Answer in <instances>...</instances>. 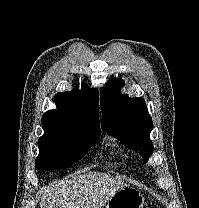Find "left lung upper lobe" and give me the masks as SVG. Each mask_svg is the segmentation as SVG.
<instances>
[{
	"label": "left lung upper lobe",
	"mask_w": 199,
	"mask_h": 208,
	"mask_svg": "<svg viewBox=\"0 0 199 208\" xmlns=\"http://www.w3.org/2000/svg\"><path fill=\"white\" fill-rule=\"evenodd\" d=\"M123 83V80L112 79L105 89H101V126L128 148L139 151L147 162L154 149L149 139L153 128L152 119L144 99L129 98L120 93Z\"/></svg>",
	"instance_id": "5c2ea615"
}]
</instances>
